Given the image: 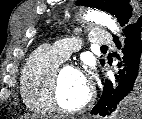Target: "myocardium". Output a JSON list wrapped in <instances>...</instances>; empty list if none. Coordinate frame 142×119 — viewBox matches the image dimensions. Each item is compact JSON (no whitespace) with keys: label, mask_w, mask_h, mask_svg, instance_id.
<instances>
[{"label":"myocardium","mask_w":142,"mask_h":119,"mask_svg":"<svg viewBox=\"0 0 142 119\" xmlns=\"http://www.w3.org/2000/svg\"><path fill=\"white\" fill-rule=\"evenodd\" d=\"M66 68H72L76 70L74 66L68 65V64L59 66V68L56 70L55 74L53 75V78L50 84L49 98H50V102H51L53 110L61 114L72 115V114H77L86 110L92 104L94 100V92L90 91L86 100L74 108H67L63 106V104L60 101L59 94H60L62 74Z\"/></svg>","instance_id":"1"}]
</instances>
